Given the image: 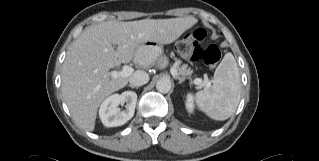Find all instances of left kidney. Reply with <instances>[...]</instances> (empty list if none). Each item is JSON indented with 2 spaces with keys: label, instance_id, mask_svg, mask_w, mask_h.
<instances>
[{
  "label": "left kidney",
  "instance_id": "left-kidney-1",
  "mask_svg": "<svg viewBox=\"0 0 319 161\" xmlns=\"http://www.w3.org/2000/svg\"><path fill=\"white\" fill-rule=\"evenodd\" d=\"M186 109L190 113L194 111V100L193 95L191 93H188L186 96Z\"/></svg>",
  "mask_w": 319,
  "mask_h": 161
}]
</instances>
